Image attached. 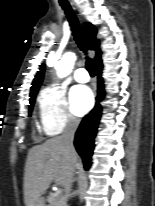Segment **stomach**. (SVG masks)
Wrapping results in <instances>:
<instances>
[{"label":"stomach","mask_w":155,"mask_h":206,"mask_svg":"<svg viewBox=\"0 0 155 206\" xmlns=\"http://www.w3.org/2000/svg\"><path fill=\"white\" fill-rule=\"evenodd\" d=\"M35 206H45L44 199L40 197L38 201L36 202Z\"/></svg>","instance_id":"obj_1"}]
</instances>
